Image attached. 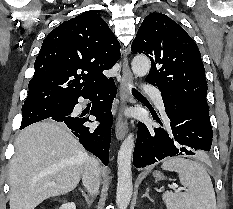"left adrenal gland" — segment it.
<instances>
[{
	"instance_id": "1",
	"label": "left adrenal gland",
	"mask_w": 233,
	"mask_h": 209,
	"mask_svg": "<svg viewBox=\"0 0 233 209\" xmlns=\"http://www.w3.org/2000/svg\"><path fill=\"white\" fill-rule=\"evenodd\" d=\"M148 192H149V189L147 188L146 192L142 195V198L147 197L149 200L152 201V198L149 196Z\"/></svg>"
}]
</instances>
